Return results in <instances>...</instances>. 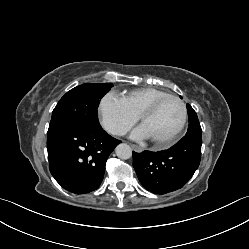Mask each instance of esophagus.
<instances>
[{
  "mask_svg": "<svg viewBox=\"0 0 249 249\" xmlns=\"http://www.w3.org/2000/svg\"><path fill=\"white\" fill-rule=\"evenodd\" d=\"M130 146H131V148H132L135 152L140 153V152L143 151L142 148H140V147H138V146H136V145H134V144H131Z\"/></svg>",
  "mask_w": 249,
  "mask_h": 249,
  "instance_id": "obj_1",
  "label": "esophagus"
}]
</instances>
